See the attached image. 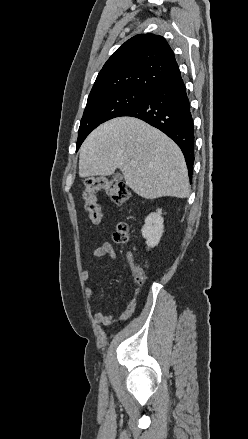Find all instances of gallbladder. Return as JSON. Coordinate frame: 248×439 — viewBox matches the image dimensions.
Returning a JSON list of instances; mask_svg holds the SVG:
<instances>
[{
  "mask_svg": "<svg viewBox=\"0 0 248 439\" xmlns=\"http://www.w3.org/2000/svg\"><path fill=\"white\" fill-rule=\"evenodd\" d=\"M113 178H114L115 180H122L123 176H122L120 173H115V174L113 175Z\"/></svg>",
  "mask_w": 248,
  "mask_h": 439,
  "instance_id": "obj_1",
  "label": "gallbladder"
}]
</instances>
